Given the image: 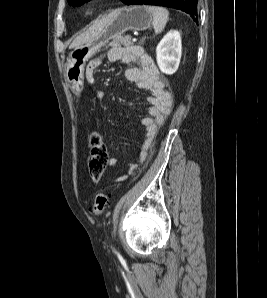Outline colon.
<instances>
[{
  "mask_svg": "<svg viewBox=\"0 0 267 298\" xmlns=\"http://www.w3.org/2000/svg\"><path fill=\"white\" fill-rule=\"evenodd\" d=\"M89 145V173L93 182L98 183L103 178L109 159L108 153L100 135L92 131L88 137ZM108 206V196L100 192L95 196L92 211L95 215H102Z\"/></svg>",
  "mask_w": 267,
  "mask_h": 298,
  "instance_id": "5ec220e1",
  "label": "colon"
}]
</instances>
